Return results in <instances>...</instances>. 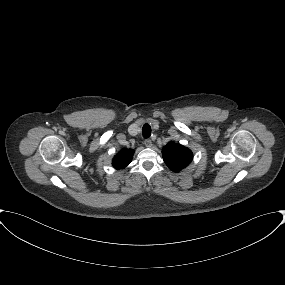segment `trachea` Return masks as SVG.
<instances>
[{
    "mask_svg": "<svg viewBox=\"0 0 285 285\" xmlns=\"http://www.w3.org/2000/svg\"><path fill=\"white\" fill-rule=\"evenodd\" d=\"M142 134L144 138H149L151 136V126L149 124L143 125Z\"/></svg>",
    "mask_w": 285,
    "mask_h": 285,
    "instance_id": "obj_1",
    "label": "trachea"
}]
</instances>
